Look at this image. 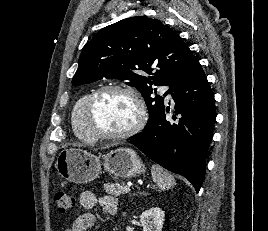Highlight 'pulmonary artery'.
Listing matches in <instances>:
<instances>
[{
  "label": "pulmonary artery",
  "mask_w": 268,
  "mask_h": 231,
  "mask_svg": "<svg viewBox=\"0 0 268 231\" xmlns=\"http://www.w3.org/2000/svg\"><path fill=\"white\" fill-rule=\"evenodd\" d=\"M161 91L164 92V93H167V95H166L167 100H172V95H171V93L169 91L168 86H162Z\"/></svg>",
  "instance_id": "pulmonary-artery-1"
}]
</instances>
